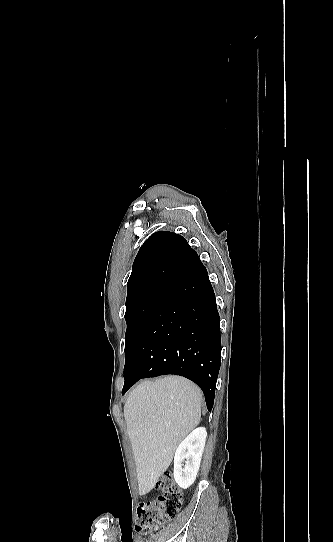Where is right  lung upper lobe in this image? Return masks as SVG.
Here are the masks:
<instances>
[{
	"label": "right lung upper lobe",
	"mask_w": 333,
	"mask_h": 542,
	"mask_svg": "<svg viewBox=\"0 0 333 542\" xmlns=\"http://www.w3.org/2000/svg\"><path fill=\"white\" fill-rule=\"evenodd\" d=\"M171 249L196 253L182 236L169 231H158L144 242L127 283L126 308L167 294L188 275L165 262L164 253Z\"/></svg>",
	"instance_id": "cb5924a9"
}]
</instances>
